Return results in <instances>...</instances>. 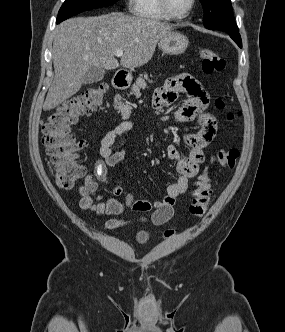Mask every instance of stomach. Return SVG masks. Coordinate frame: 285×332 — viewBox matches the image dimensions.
<instances>
[{
    "mask_svg": "<svg viewBox=\"0 0 285 332\" xmlns=\"http://www.w3.org/2000/svg\"><path fill=\"white\" fill-rule=\"evenodd\" d=\"M189 44L186 36L181 33L171 31L168 35L160 39V49L170 55H179L185 52ZM127 82L132 80L131 73H127Z\"/></svg>",
    "mask_w": 285,
    "mask_h": 332,
    "instance_id": "1",
    "label": "stomach"
}]
</instances>
